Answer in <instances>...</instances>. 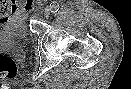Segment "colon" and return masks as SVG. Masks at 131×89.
<instances>
[{
    "mask_svg": "<svg viewBox=\"0 0 131 89\" xmlns=\"http://www.w3.org/2000/svg\"><path fill=\"white\" fill-rule=\"evenodd\" d=\"M19 64L13 53L0 51V80L12 79L17 76Z\"/></svg>",
    "mask_w": 131,
    "mask_h": 89,
    "instance_id": "colon-1",
    "label": "colon"
}]
</instances>
